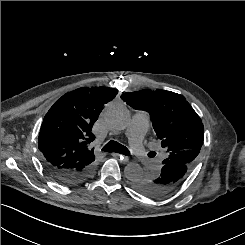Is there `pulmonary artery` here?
Here are the masks:
<instances>
[{"label": "pulmonary artery", "mask_w": 245, "mask_h": 245, "mask_svg": "<svg viewBox=\"0 0 245 245\" xmlns=\"http://www.w3.org/2000/svg\"><path fill=\"white\" fill-rule=\"evenodd\" d=\"M149 124L150 118L148 113L140 111L134 114L127 129V137L131 148L141 162H145L146 160V149L142 144V138Z\"/></svg>", "instance_id": "e3ab8cb5"}]
</instances>
